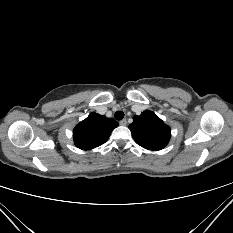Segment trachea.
<instances>
[{"instance_id":"trachea-1","label":"trachea","mask_w":233,"mask_h":233,"mask_svg":"<svg viewBox=\"0 0 233 233\" xmlns=\"http://www.w3.org/2000/svg\"><path fill=\"white\" fill-rule=\"evenodd\" d=\"M114 117L116 120H122L124 118V113L122 111H117Z\"/></svg>"}]
</instances>
